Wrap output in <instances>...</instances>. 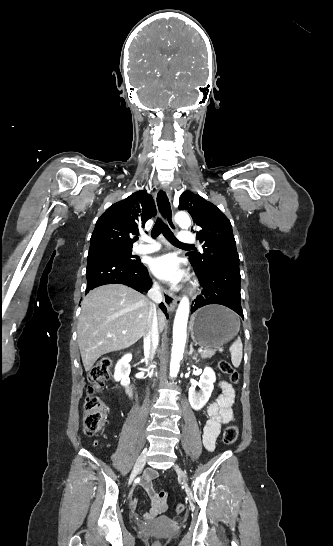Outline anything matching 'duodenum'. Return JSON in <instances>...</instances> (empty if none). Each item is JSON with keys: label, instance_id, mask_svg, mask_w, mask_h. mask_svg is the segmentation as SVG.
Here are the masks:
<instances>
[{"label": "duodenum", "instance_id": "410a0bca", "mask_svg": "<svg viewBox=\"0 0 333 546\" xmlns=\"http://www.w3.org/2000/svg\"><path fill=\"white\" fill-rule=\"evenodd\" d=\"M137 390H138V387H137V384L135 382H130L126 386V391L129 394V396H131V397H133L137 393Z\"/></svg>", "mask_w": 333, "mask_h": 546}]
</instances>
